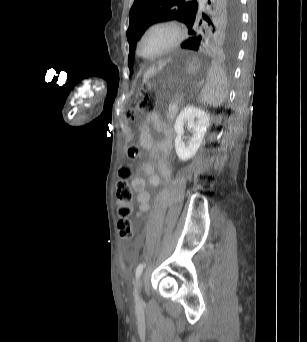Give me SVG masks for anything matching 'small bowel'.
Instances as JSON below:
<instances>
[{
	"label": "small bowel",
	"instance_id": "small-bowel-1",
	"mask_svg": "<svg viewBox=\"0 0 307 342\" xmlns=\"http://www.w3.org/2000/svg\"><path fill=\"white\" fill-rule=\"evenodd\" d=\"M153 130L162 135L160 141L154 140ZM174 138V130L160 120L156 114L149 113L145 116L140 127V144L148 152L149 159L138 164L130 181L131 188L136 194L138 215L147 212L151 208L150 194L145 189V179H148L150 185L154 188L161 183L160 177L155 173V167L158 168L165 180L170 179L171 171L166 160Z\"/></svg>",
	"mask_w": 307,
	"mask_h": 342
}]
</instances>
